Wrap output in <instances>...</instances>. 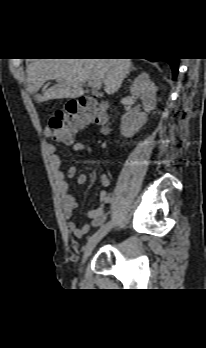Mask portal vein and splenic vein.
<instances>
[{
	"label": "portal vein and splenic vein",
	"instance_id": "18ae733b",
	"mask_svg": "<svg viewBox=\"0 0 206 348\" xmlns=\"http://www.w3.org/2000/svg\"><path fill=\"white\" fill-rule=\"evenodd\" d=\"M88 85L92 89H99L102 86V82L100 80H91L88 82Z\"/></svg>",
	"mask_w": 206,
	"mask_h": 348
}]
</instances>
